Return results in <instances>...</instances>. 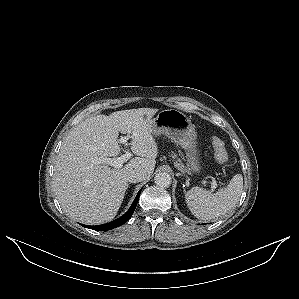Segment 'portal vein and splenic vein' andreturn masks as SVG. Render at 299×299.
<instances>
[{
  "label": "portal vein and splenic vein",
  "mask_w": 299,
  "mask_h": 299,
  "mask_svg": "<svg viewBox=\"0 0 299 299\" xmlns=\"http://www.w3.org/2000/svg\"><path fill=\"white\" fill-rule=\"evenodd\" d=\"M129 138H131L130 135H127V136L121 137V139L119 141L121 143H123L125 146H128L127 140ZM130 157H131V153L127 149L125 154L121 155L118 158H98L96 163L97 164L103 163V164L110 165L114 168H121L123 166V163L126 162ZM216 187H217L216 180L214 178H212L211 192H214Z\"/></svg>",
  "instance_id": "18ae733b"
}]
</instances>
